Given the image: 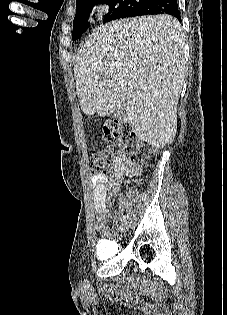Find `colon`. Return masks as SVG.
Here are the masks:
<instances>
[{"mask_svg": "<svg viewBox=\"0 0 227 315\" xmlns=\"http://www.w3.org/2000/svg\"><path fill=\"white\" fill-rule=\"evenodd\" d=\"M103 140L106 144L108 154H112L116 149H122L130 155L134 161L151 166L156 160L157 150L148 142L139 138L135 132L127 126L112 124L103 130ZM109 167V160L105 153L95 152L92 155L91 170L94 173H104Z\"/></svg>", "mask_w": 227, "mask_h": 315, "instance_id": "5ec220e1", "label": "colon"}]
</instances>
